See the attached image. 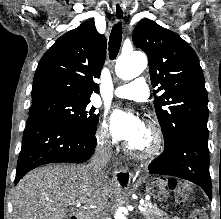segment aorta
Here are the masks:
<instances>
[{
    "label": "aorta",
    "mask_w": 221,
    "mask_h": 219,
    "mask_svg": "<svg viewBox=\"0 0 221 219\" xmlns=\"http://www.w3.org/2000/svg\"><path fill=\"white\" fill-rule=\"evenodd\" d=\"M146 66L147 58L142 53L121 55L116 61L115 72L121 79L129 80L139 76ZM116 217V219H123L120 213Z\"/></svg>",
    "instance_id": "1"
}]
</instances>
